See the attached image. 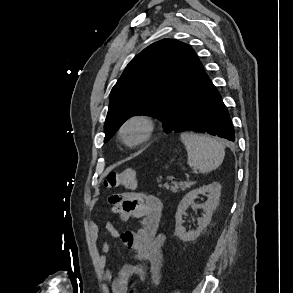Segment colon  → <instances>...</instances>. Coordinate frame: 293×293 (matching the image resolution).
<instances>
[{
    "mask_svg": "<svg viewBox=\"0 0 293 293\" xmlns=\"http://www.w3.org/2000/svg\"><path fill=\"white\" fill-rule=\"evenodd\" d=\"M138 184V177L133 169H126L123 171L110 172L105 180L104 185L107 188L122 187L126 189H135ZM129 293H137L136 290L130 289Z\"/></svg>",
    "mask_w": 293,
    "mask_h": 293,
    "instance_id": "1",
    "label": "colon"
}]
</instances>
